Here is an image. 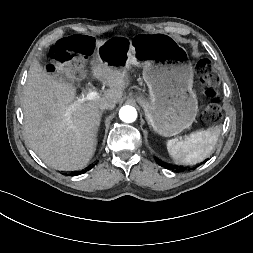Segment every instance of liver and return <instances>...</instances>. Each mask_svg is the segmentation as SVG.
I'll return each instance as SVG.
<instances>
[{"label":"liver","mask_w":253,"mask_h":253,"mask_svg":"<svg viewBox=\"0 0 253 253\" xmlns=\"http://www.w3.org/2000/svg\"><path fill=\"white\" fill-rule=\"evenodd\" d=\"M103 43L97 40L96 48ZM91 69L110 89L83 102L75 100V86L45 72L38 61L29 69L23 92L24 134L31 149L54 169L79 170L90 162L97 146L100 102L116 105L129 86L125 70L98 59Z\"/></svg>","instance_id":"6515ba94"}]
</instances>
